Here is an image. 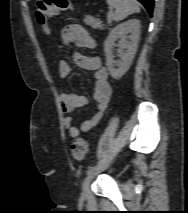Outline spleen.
<instances>
[{"mask_svg":"<svg viewBox=\"0 0 188 213\" xmlns=\"http://www.w3.org/2000/svg\"><path fill=\"white\" fill-rule=\"evenodd\" d=\"M108 5L115 8L112 19L120 21L133 13H139L140 8L136 0H106Z\"/></svg>","mask_w":188,"mask_h":213,"instance_id":"1","label":"spleen"}]
</instances>
